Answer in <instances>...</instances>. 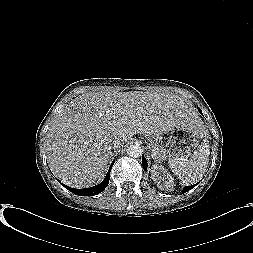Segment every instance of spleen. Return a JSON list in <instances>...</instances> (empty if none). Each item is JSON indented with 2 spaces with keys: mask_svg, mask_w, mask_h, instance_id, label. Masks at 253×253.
I'll return each instance as SVG.
<instances>
[{
  "mask_svg": "<svg viewBox=\"0 0 253 253\" xmlns=\"http://www.w3.org/2000/svg\"><path fill=\"white\" fill-rule=\"evenodd\" d=\"M208 131L204 129L203 135L206 136ZM209 144L205 138L201 145L192 155L191 159L184 157H175L169 159L168 164L172 172L185 183H193L202 178L206 172L209 162Z\"/></svg>",
  "mask_w": 253,
  "mask_h": 253,
  "instance_id": "1",
  "label": "spleen"
}]
</instances>
